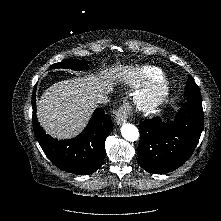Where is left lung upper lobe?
<instances>
[{
  "mask_svg": "<svg viewBox=\"0 0 221 221\" xmlns=\"http://www.w3.org/2000/svg\"><path fill=\"white\" fill-rule=\"evenodd\" d=\"M185 97L186 100L190 102H202L199 87L196 85L191 76L189 77L186 84Z\"/></svg>",
  "mask_w": 221,
  "mask_h": 221,
  "instance_id": "1",
  "label": "left lung upper lobe"
}]
</instances>
